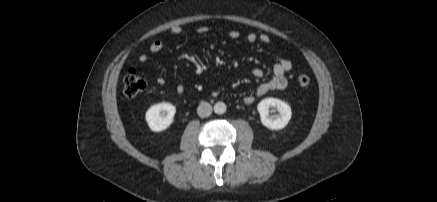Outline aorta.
Wrapping results in <instances>:
<instances>
[{"label": "aorta", "mask_w": 437, "mask_h": 202, "mask_svg": "<svg viewBox=\"0 0 437 202\" xmlns=\"http://www.w3.org/2000/svg\"><path fill=\"white\" fill-rule=\"evenodd\" d=\"M214 112L216 114H224L226 112V105L224 102H217L214 105Z\"/></svg>", "instance_id": "762f6f07"}]
</instances>
